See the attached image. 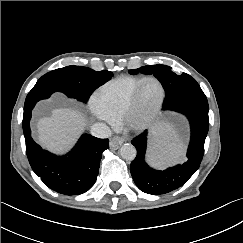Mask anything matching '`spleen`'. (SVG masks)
I'll list each match as a JSON object with an SVG mask.
<instances>
[{
    "instance_id": "spleen-1",
    "label": "spleen",
    "mask_w": 243,
    "mask_h": 243,
    "mask_svg": "<svg viewBox=\"0 0 243 243\" xmlns=\"http://www.w3.org/2000/svg\"><path fill=\"white\" fill-rule=\"evenodd\" d=\"M184 143L167 123H160L153 132L152 151L149 160L161 167L180 160L184 156Z\"/></svg>"
}]
</instances>
